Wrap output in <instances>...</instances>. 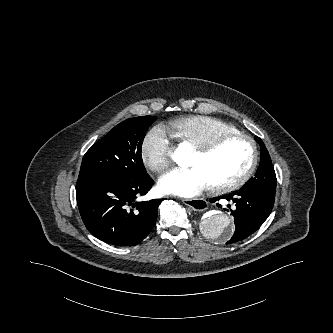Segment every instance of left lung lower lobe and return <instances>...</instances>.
I'll return each mask as SVG.
<instances>
[{
    "mask_svg": "<svg viewBox=\"0 0 333 333\" xmlns=\"http://www.w3.org/2000/svg\"><path fill=\"white\" fill-rule=\"evenodd\" d=\"M220 199L233 201L236 206L235 210H231L235 223V232L227 242L231 244L247 238L263 224L272 211L275 194L262 190L239 189L216 198Z\"/></svg>",
    "mask_w": 333,
    "mask_h": 333,
    "instance_id": "1",
    "label": "left lung lower lobe"
}]
</instances>
